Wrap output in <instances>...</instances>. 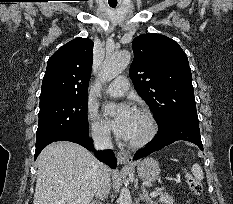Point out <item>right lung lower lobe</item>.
Wrapping results in <instances>:
<instances>
[{
	"mask_svg": "<svg viewBox=\"0 0 233 204\" xmlns=\"http://www.w3.org/2000/svg\"><path fill=\"white\" fill-rule=\"evenodd\" d=\"M64 140L80 144L81 146L89 150H93V140L90 139L88 132L66 133V134H62L56 137L55 139L51 141L37 145L36 151H35V159L37 158L39 153L42 151V149L48 144L54 141H64ZM95 155L98 158V160L107 164L109 167L114 168V169L116 168L117 160L112 150L95 152Z\"/></svg>",
	"mask_w": 233,
	"mask_h": 204,
	"instance_id": "right-lung-lower-lobe-1",
	"label": "right lung lower lobe"
}]
</instances>
